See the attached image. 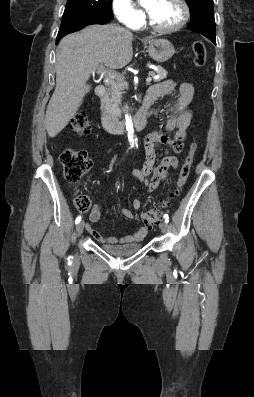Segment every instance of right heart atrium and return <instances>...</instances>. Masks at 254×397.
I'll list each match as a JSON object with an SVG mask.
<instances>
[{
	"instance_id": "obj_1",
	"label": "right heart atrium",
	"mask_w": 254,
	"mask_h": 397,
	"mask_svg": "<svg viewBox=\"0 0 254 397\" xmlns=\"http://www.w3.org/2000/svg\"><path fill=\"white\" fill-rule=\"evenodd\" d=\"M112 10L118 21L129 28H138L144 21V14L131 0H112Z\"/></svg>"
}]
</instances>
